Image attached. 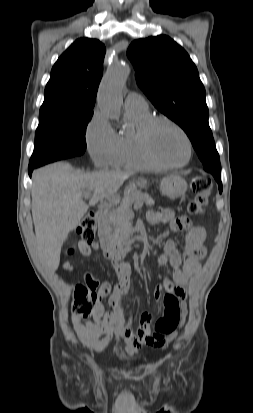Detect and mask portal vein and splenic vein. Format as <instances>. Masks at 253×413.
<instances>
[{
  "instance_id": "portal-vein-and-splenic-vein-1",
  "label": "portal vein and splenic vein",
  "mask_w": 253,
  "mask_h": 413,
  "mask_svg": "<svg viewBox=\"0 0 253 413\" xmlns=\"http://www.w3.org/2000/svg\"><path fill=\"white\" fill-rule=\"evenodd\" d=\"M91 197V192L90 191H86L85 193H84V198L85 199H89Z\"/></svg>"
}]
</instances>
